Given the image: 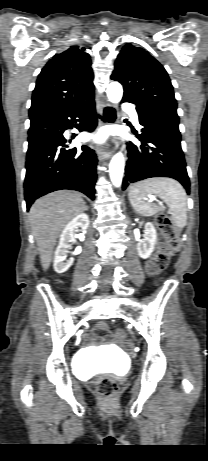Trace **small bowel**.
I'll list each match as a JSON object with an SVG mask.
<instances>
[{"instance_id": "c3829d8e", "label": "small bowel", "mask_w": 208, "mask_h": 461, "mask_svg": "<svg viewBox=\"0 0 208 461\" xmlns=\"http://www.w3.org/2000/svg\"><path fill=\"white\" fill-rule=\"evenodd\" d=\"M147 268H148V272H149V273H154V272H156V271H154V270H152V269L150 268L149 263H148ZM96 329H97L98 331H106V330L108 329V326H107V324H105L104 322H100V323L96 326Z\"/></svg>"}]
</instances>
